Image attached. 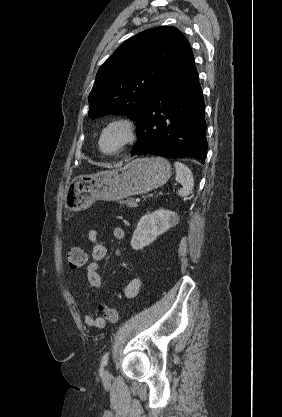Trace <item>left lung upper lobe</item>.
<instances>
[{"mask_svg": "<svg viewBox=\"0 0 282 417\" xmlns=\"http://www.w3.org/2000/svg\"><path fill=\"white\" fill-rule=\"evenodd\" d=\"M188 48L186 37L171 26L154 27L126 40L97 73L89 94V117L124 114L138 122L141 109Z\"/></svg>", "mask_w": 282, "mask_h": 417, "instance_id": "left-lung-upper-lobe-1", "label": "left lung upper lobe"}]
</instances>
